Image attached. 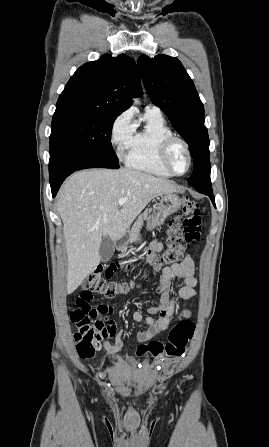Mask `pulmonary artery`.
<instances>
[{"label":"pulmonary artery","mask_w":269,"mask_h":447,"mask_svg":"<svg viewBox=\"0 0 269 447\" xmlns=\"http://www.w3.org/2000/svg\"><path fill=\"white\" fill-rule=\"evenodd\" d=\"M146 110H148V111H153V112H156V113H158V114H161L160 109H159L158 107H156V106H147V107H146Z\"/></svg>","instance_id":"e3ab8cb5"}]
</instances>
